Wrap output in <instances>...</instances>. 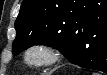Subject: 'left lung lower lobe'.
<instances>
[{
    "label": "left lung lower lobe",
    "instance_id": "0a47b994",
    "mask_svg": "<svg viewBox=\"0 0 107 75\" xmlns=\"http://www.w3.org/2000/svg\"><path fill=\"white\" fill-rule=\"evenodd\" d=\"M89 1L99 6L79 26L77 41L82 51L65 57L80 67L107 73V0Z\"/></svg>",
    "mask_w": 107,
    "mask_h": 75
}]
</instances>
